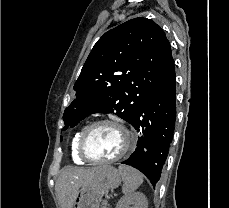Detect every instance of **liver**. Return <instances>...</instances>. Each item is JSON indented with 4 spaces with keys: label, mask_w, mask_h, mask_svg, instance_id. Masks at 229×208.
Returning <instances> with one entry per match:
<instances>
[{
    "label": "liver",
    "mask_w": 229,
    "mask_h": 208,
    "mask_svg": "<svg viewBox=\"0 0 229 208\" xmlns=\"http://www.w3.org/2000/svg\"><path fill=\"white\" fill-rule=\"evenodd\" d=\"M103 168L104 166H96V168L65 166L61 170L55 186L61 208H73L79 188L86 186V184L95 180L97 176H100Z\"/></svg>",
    "instance_id": "obj_1"
}]
</instances>
